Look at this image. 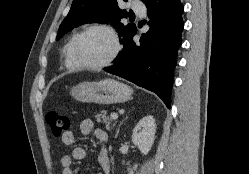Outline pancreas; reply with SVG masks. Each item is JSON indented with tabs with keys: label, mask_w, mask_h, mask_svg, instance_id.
<instances>
[{
	"label": "pancreas",
	"mask_w": 249,
	"mask_h": 174,
	"mask_svg": "<svg viewBox=\"0 0 249 174\" xmlns=\"http://www.w3.org/2000/svg\"><path fill=\"white\" fill-rule=\"evenodd\" d=\"M97 122L104 123L106 125L107 130H111L113 126H115V123L107 116L106 111H101L99 114L95 116Z\"/></svg>",
	"instance_id": "1"
}]
</instances>
